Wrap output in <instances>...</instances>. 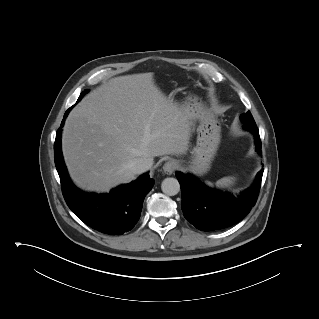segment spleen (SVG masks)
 I'll use <instances>...</instances> for the list:
<instances>
[{
	"label": "spleen",
	"instance_id": "spleen-1",
	"mask_svg": "<svg viewBox=\"0 0 319 319\" xmlns=\"http://www.w3.org/2000/svg\"><path fill=\"white\" fill-rule=\"evenodd\" d=\"M234 179H235L234 177H223L216 182V186L222 187V188L228 187L229 185H231L233 183ZM205 183L210 187L213 186V184L209 181H206Z\"/></svg>",
	"mask_w": 319,
	"mask_h": 319
}]
</instances>
